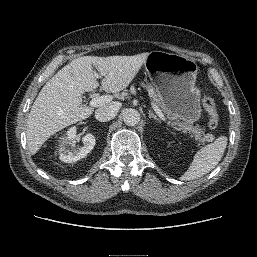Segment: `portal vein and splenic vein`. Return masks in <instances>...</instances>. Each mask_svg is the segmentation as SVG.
Segmentation results:
<instances>
[{
    "label": "portal vein and splenic vein",
    "instance_id": "1",
    "mask_svg": "<svg viewBox=\"0 0 257 257\" xmlns=\"http://www.w3.org/2000/svg\"><path fill=\"white\" fill-rule=\"evenodd\" d=\"M96 78H101L100 75L95 74ZM113 99L112 96L110 95H98L96 97H94L91 101H90V106L91 107H100L106 103H109L111 100ZM152 108L155 111V113L163 120L166 121V118L164 116V114L162 113V111L160 110V108L154 103L151 102Z\"/></svg>",
    "mask_w": 257,
    "mask_h": 257
}]
</instances>
